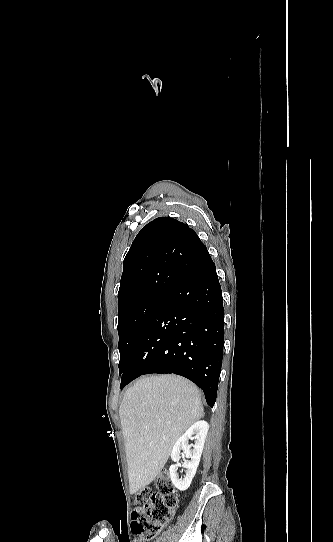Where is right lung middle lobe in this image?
Wrapping results in <instances>:
<instances>
[{
  "label": "right lung middle lobe",
  "instance_id": "right-lung-middle-lobe-1",
  "mask_svg": "<svg viewBox=\"0 0 333 542\" xmlns=\"http://www.w3.org/2000/svg\"><path fill=\"white\" fill-rule=\"evenodd\" d=\"M168 292L150 295L137 304L127 306L118 312L119 333V375L131 360L137 342L158 306L164 302Z\"/></svg>",
  "mask_w": 333,
  "mask_h": 542
}]
</instances>
